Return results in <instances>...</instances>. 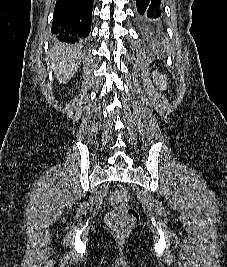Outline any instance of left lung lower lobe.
<instances>
[{
    "mask_svg": "<svg viewBox=\"0 0 227 267\" xmlns=\"http://www.w3.org/2000/svg\"><path fill=\"white\" fill-rule=\"evenodd\" d=\"M136 6L141 16V25L148 33L155 34L162 30L159 21L161 15V0H136Z\"/></svg>",
    "mask_w": 227,
    "mask_h": 267,
    "instance_id": "obj_1",
    "label": "left lung lower lobe"
}]
</instances>
